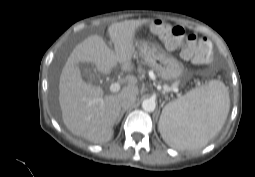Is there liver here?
I'll list each match as a JSON object with an SVG mask.
<instances>
[{
	"instance_id": "liver-1",
	"label": "liver",
	"mask_w": 255,
	"mask_h": 177,
	"mask_svg": "<svg viewBox=\"0 0 255 177\" xmlns=\"http://www.w3.org/2000/svg\"><path fill=\"white\" fill-rule=\"evenodd\" d=\"M145 22L127 20L111 24L108 33L114 51L101 36L91 35L68 57L59 80V105L63 122L73 134L95 144L106 143L113 137V127L121 113L120 100L139 94L137 78L126 76L127 85L119 93L103 97L101 87L82 79L78 65L91 63L102 74H109L120 63L123 71H132L136 31Z\"/></svg>"
}]
</instances>
